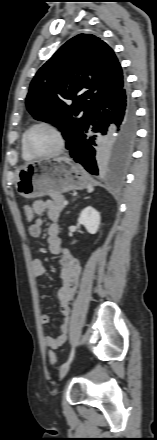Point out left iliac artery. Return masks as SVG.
<instances>
[{"mask_svg":"<svg viewBox=\"0 0 157 440\" xmlns=\"http://www.w3.org/2000/svg\"><path fill=\"white\" fill-rule=\"evenodd\" d=\"M73 358H74V349H72V351H71V353H70V356H69L68 361L66 362V364H70V363L72 362Z\"/></svg>","mask_w":157,"mask_h":440,"instance_id":"left-iliac-artery-1","label":"left iliac artery"}]
</instances>
